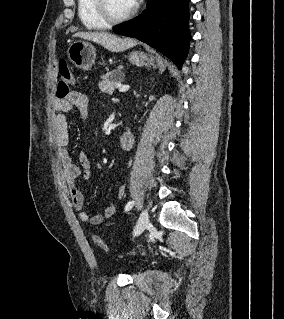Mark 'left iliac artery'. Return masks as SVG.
<instances>
[{
  "mask_svg": "<svg viewBox=\"0 0 284 319\" xmlns=\"http://www.w3.org/2000/svg\"><path fill=\"white\" fill-rule=\"evenodd\" d=\"M133 205L134 201H129L125 206V211H129L130 209H132Z\"/></svg>",
  "mask_w": 284,
  "mask_h": 319,
  "instance_id": "left-iliac-artery-1",
  "label": "left iliac artery"
}]
</instances>
